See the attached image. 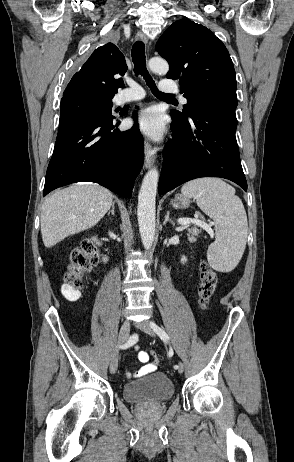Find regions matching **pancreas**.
Returning <instances> with one entry per match:
<instances>
[{
	"label": "pancreas",
	"mask_w": 294,
	"mask_h": 462,
	"mask_svg": "<svg viewBox=\"0 0 294 462\" xmlns=\"http://www.w3.org/2000/svg\"><path fill=\"white\" fill-rule=\"evenodd\" d=\"M187 231H188V234H187L188 240L191 242H195L196 237H198V235L201 233V230H199L196 226L187 228Z\"/></svg>",
	"instance_id": "pancreas-1"
}]
</instances>
